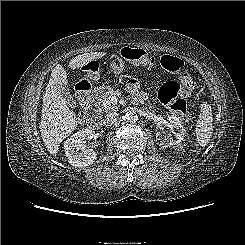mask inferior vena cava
Listing matches in <instances>:
<instances>
[{"label": "inferior vena cava", "mask_w": 245, "mask_h": 245, "mask_svg": "<svg viewBox=\"0 0 245 245\" xmlns=\"http://www.w3.org/2000/svg\"><path fill=\"white\" fill-rule=\"evenodd\" d=\"M118 113L111 112L108 113L105 118L103 119V124L105 126H115L118 124Z\"/></svg>", "instance_id": "obj_1"}]
</instances>
